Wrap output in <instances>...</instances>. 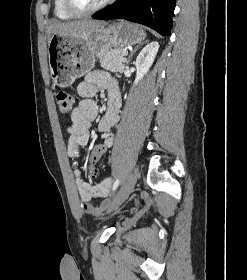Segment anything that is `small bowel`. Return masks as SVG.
<instances>
[{
  "label": "small bowel",
  "mask_w": 247,
  "mask_h": 280,
  "mask_svg": "<svg viewBox=\"0 0 247 280\" xmlns=\"http://www.w3.org/2000/svg\"><path fill=\"white\" fill-rule=\"evenodd\" d=\"M98 89L108 91V106L104 116L99 120L98 131L101 134L102 143L107 149L113 144L111 130L117 124L121 108L120 94L117 86L110 75L104 71H92L85 76V79L78 85L77 92L81 97L79 103L71 113V124L67 128L69 135L67 143V154L72 160V167L78 191L83 201V209L91 215H99L107 207V202L103 201L95 206L91 203L95 199H105L111 192V179L105 178L98 184H89L84 181L79 168V156L81 150L86 146L90 139L89 129L91 122L98 116V105L94 100ZM106 149V150H107Z\"/></svg>",
  "instance_id": "small-bowel-1"
}]
</instances>
